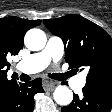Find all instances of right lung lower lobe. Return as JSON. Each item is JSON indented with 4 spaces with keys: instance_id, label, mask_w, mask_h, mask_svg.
Returning <instances> with one entry per match:
<instances>
[{
    "instance_id": "right-lung-lower-lobe-1",
    "label": "right lung lower lobe",
    "mask_w": 112,
    "mask_h": 112,
    "mask_svg": "<svg viewBox=\"0 0 112 112\" xmlns=\"http://www.w3.org/2000/svg\"><path fill=\"white\" fill-rule=\"evenodd\" d=\"M44 92L42 79L27 83H14L0 102V112H33L34 95Z\"/></svg>"
}]
</instances>
